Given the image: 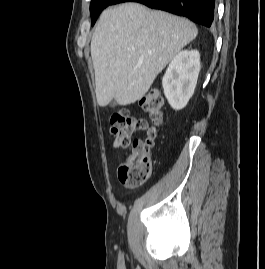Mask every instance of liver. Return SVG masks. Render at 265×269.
I'll list each match as a JSON object with an SVG mask.
<instances>
[{"mask_svg":"<svg viewBox=\"0 0 265 269\" xmlns=\"http://www.w3.org/2000/svg\"><path fill=\"white\" fill-rule=\"evenodd\" d=\"M198 34L188 19L138 3L105 10L91 40L97 103L129 105Z\"/></svg>","mask_w":265,"mask_h":269,"instance_id":"liver-1","label":"liver"}]
</instances>
